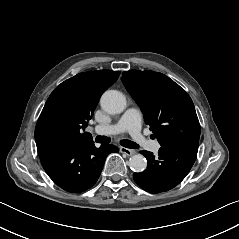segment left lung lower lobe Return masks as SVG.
Returning a JSON list of instances; mask_svg holds the SVG:
<instances>
[{"mask_svg":"<svg viewBox=\"0 0 239 239\" xmlns=\"http://www.w3.org/2000/svg\"><path fill=\"white\" fill-rule=\"evenodd\" d=\"M198 145L172 144L161 146L157 157L148 151H141L148 161L147 169L134 173L135 182L150 193L168 191L178 185L193 166Z\"/></svg>","mask_w":239,"mask_h":239,"instance_id":"0a47b994","label":"left lung lower lobe"}]
</instances>
